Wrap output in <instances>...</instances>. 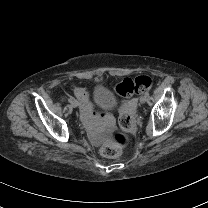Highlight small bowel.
Returning a JSON list of instances; mask_svg holds the SVG:
<instances>
[{"label":"small bowel","mask_w":208,"mask_h":208,"mask_svg":"<svg viewBox=\"0 0 208 208\" xmlns=\"http://www.w3.org/2000/svg\"><path fill=\"white\" fill-rule=\"evenodd\" d=\"M60 90L65 94L66 97L71 98L75 95L78 99L80 105L79 119L83 123L88 135L91 136L92 139H99L102 133L111 127L113 119L104 112H97L95 116L103 119L97 124V126L95 125L90 117V108L93 107L90 102V96L85 90L82 89L80 82L74 79H67L62 82ZM62 113L64 116L69 117L72 115L73 110L71 107L66 106L63 108Z\"/></svg>","instance_id":"small-bowel-1"}]
</instances>
